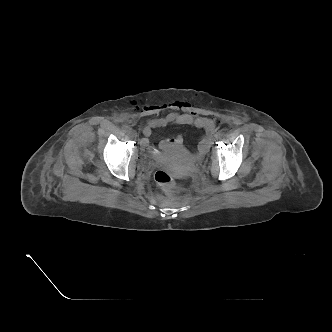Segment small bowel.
<instances>
[{
	"label": "small bowel",
	"mask_w": 332,
	"mask_h": 332,
	"mask_svg": "<svg viewBox=\"0 0 332 332\" xmlns=\"http://www.w3.org/2000/svg\"><path fill=\"white\" fill-rule=\"evenodd\" d=\"M166 110L169 111L166 116L151 118L147 121L146 126L142 130L144 137L140 141L141 145L148 147L151 153H156V150L153 147H150L149 137L151 136L153 129L169 125H192L204 131V135L198 145L199 152L204 153L208 149L211 137L216 130L215 120L193 112L189 109L186 103L178 101L149 106L145 109V113L146 115H159ZM182 142V137L176 136L172 139L160 141L159 147L160 149L165 150L171 146H179Z\"/></svg>",
	"instance_id": "c3829d8e"
}]
</instances>
